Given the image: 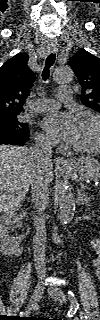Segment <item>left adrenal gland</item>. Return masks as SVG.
<instances>
[{
	"mask_svg": "<svg viewBox=\"0 0 100 320\" xmlns=\"http://www.w3.org/2000/svg\"><path fill=\"white\" fill-rule=\"evenodd\" d=\"M77 195H78V201L82 204V205H88L90 198L88 197L87 193L82 191L81 189L77 190Z\"/></svg>",
	"mask_w": 100,
	"mask_h": 320,
	"instance_id": "a2214340",
	"label": "left adrenal gland"
}]
</instances>
